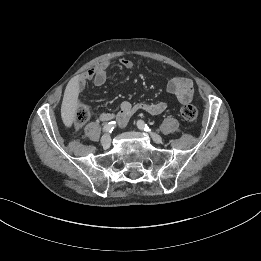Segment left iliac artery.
I'll return each instance as SVG.
<instances>
[{
    "label": "left iliac artery",
    "instance_id": "obj_1",
    "mask_svg": "<svg viewBox=\"0 0 261 261\" xmlns=\"http://www.w3.org/2000/svg\"><path fill=\"white\" fill-rule=\"evenodd\" d=\"M137 126L141 130L150 131V128L148 127V125L143 120H138L137 121Z\"/></svg>",
    "mask_w": 261,
    "mask_h": 261
}]
</instances>
